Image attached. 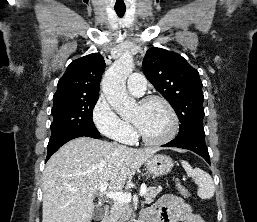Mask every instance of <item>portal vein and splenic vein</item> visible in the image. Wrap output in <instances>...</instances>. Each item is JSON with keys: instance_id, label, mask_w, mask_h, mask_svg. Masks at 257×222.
Returning <instances> with one entry per match:
<instances>
[{"instance_id": "18ae733b", "label": "portal vein and splenic vein", "mask_w": 257, "mask_h": 222, "mask_svg": "<svg viewBox=\"0 0 257 222\" xmlns=\"http://www.w3.org/2000/svg\"><path fill=\"white\" fill-rule=\"evenodd\" d=\"M108 184L104 182L100 185L99 191L101 193H104L106 198L112 199L114 201H117L119 203H125L128 204L131 202V194L130 193H123V192H115V191H107ZM146 193V185L142 184L140 189V196L145 195Z\"/></svg>"}]
</instances>
